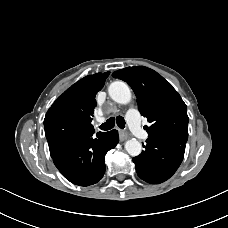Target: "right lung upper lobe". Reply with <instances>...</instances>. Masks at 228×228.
<instances>
[{
  "instance_id": "right-lung-upper-lobe-1",
  "label": "right lung upper lobe",
  "mask_w": 228,
  "mask_h": 228,
  "mask_svg": "<svg viewBox=\"0 0 228 228\" xmlns=\"http://www.w3.org/2000/svg\"><path fill=\"white\" fill-rule=\"evenodd\" d=\"M109 72L89 75L60 95L46 113L44 127L65 119L73 120L80 132H95L91 124L96 94L103 88Z\"/></svg>"
}]
</instances>
